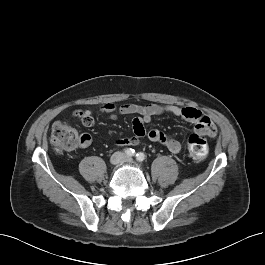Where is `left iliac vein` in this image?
I'll return each instance as SVG.
<instances>
[{
    "label": "left iliac vein",
    "instance_id": "1",
    "mask_svg": "<svg viewBox=\"0 0 265 265\" xmlns=\"http://www.w3.org/2000/svg\"><path fill=\"white\" fill-rule=\"evenodd\" d=\"M123 162L130 163V162H132V158L129 157V156H124L123 157Z\"/></svg>",
    "mask_w": 265,
    "mask_h": 265
}]
</instances>
